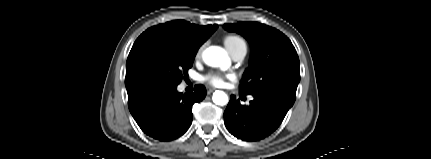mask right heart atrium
<instances>
[{
  "label": "right heart atrium",
  "mask_w": 431,
  "mask_h": 159,
  "mask_svg": "<svg viewBox=\"0 0 431 159\" xmlns=\"http://www.w3.org/2000/svg\"><path fill=\"white\" fill-rule=\"evenodd\" d=\"M200 51H201V49L198 50V52H197L198 55L200 54Z\"/></svg>",
  "instance_id": "right-heart-atrium-1"
}]
</instances>
